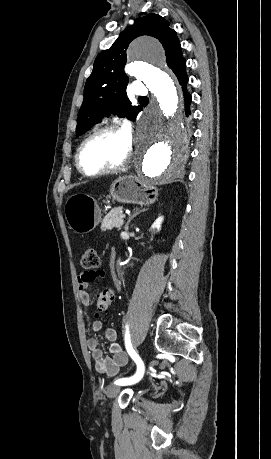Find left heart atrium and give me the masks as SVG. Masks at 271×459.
<instances>
[{
  "instance_id": "1",
  "label": "left heart atrium",
  "mask_w": 271,
  "mask_h": 459,
  "mask_svg": "<svg viewBox=\"0 0 271 459\" xmlns=\"http://www.w3.org/2000/svg\"><path fill=\"white\" fill-rule=\"evenodd\" d=\"M124 134L128 138L129 142L132 144L134 138L133 127L130 124H126L123 130Z\"/></svg>"
}]
</instances>
